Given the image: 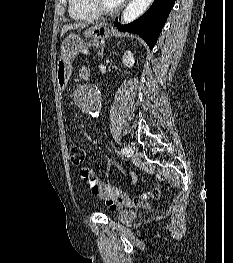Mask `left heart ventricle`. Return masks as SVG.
<instances>
[{"instance_id": "left-heart-ventricle-1", "label": "left heart ventricle", "mask_w": 233, "mask_h": 263, "mask_svg": "<svg viewBox=\"0 0 233 263\" xmlns=\"http://www.w3.org/2000/svg\"><path fill=\"white\" fill-rule=\"evenodd\" d=\"M100 4L105 8H113L118 5V0H99Z\"/></svg>"}]
</instances>
